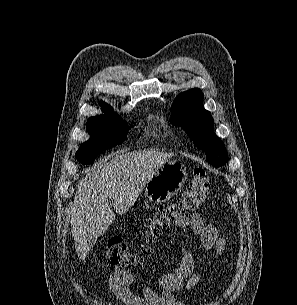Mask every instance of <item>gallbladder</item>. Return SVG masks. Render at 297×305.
<instances>
[{
	"label": "gallbladder",
	"mask_w": 297,
	"mask_h": 305,
	"mask_svg": "<svg viewBox=\"0 0 297 305\" xmlns=\"http://www.w3.org/2000/svg\"><path fill=\"white\" fill-rule=\"evenodd\" d=\"M88 243H89L90 247H93L96 243V239L95 238L89 239Z\"/></svg>",
	"instance_id": "bac80fb5"
}]
</instances>
